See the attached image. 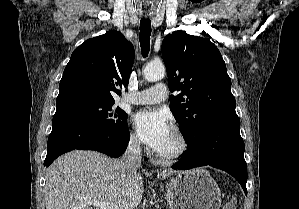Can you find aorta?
<instances>
[{
  "label": "aorta",
  "instance_id": "obj_1",
  "mask_svg": "<svg viewBox=\"0 0 299 209\" xmlns=\"http://www.w3.org/2000/svg\"><path fill=\"white\" fill-rule=\"evenodd\" d=\"M143 74L149 82L159 81L165 77V66L162 63H149L143 70Z\"/></svg>",
  "mask_w": 299,
  "mask_h": 209
}]
</instances>
